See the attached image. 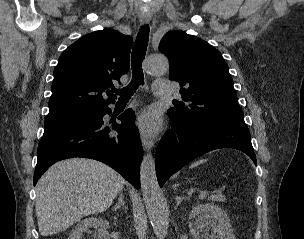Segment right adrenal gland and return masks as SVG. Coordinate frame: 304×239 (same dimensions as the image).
<instances>
[{"instance_id": "obj_1", "label": "right adrenal gland", "mask_w": 304, "mask_h": 239, "mask_svg": "<svg viewBox=\"0 0 304 239\" xmlns=\"http://www.w3.org/2000/svg\"><path fill=\"white\" fill-rule=\"evenodd\" d=\"M120 207H123L125 210H127V207H126L125 201H124V195H123L122 191L119 194L118 203L115 204L114 210L120 209Z\"/></svg>"}]
</instances>
